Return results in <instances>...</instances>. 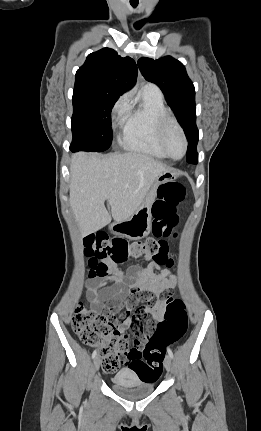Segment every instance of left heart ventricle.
I'll use <instances>...</instances> for the list:
<instances>
[{"label": "left heart ventricle", "mask_w": 261, "mask_h": 431, "mask_svg": "<svg viewBox=\"0 0 261 431\" xmlns=\"http://www.w3.org/2000/svg\"><path fill=\"white\" fill-rule=\"evenodd\" d=\"M166 146L173 157H180L183 153L184 144L180 133L174 128H169L166 134Z\"/></svg>", "instance_id": "1"}]
</instances>
